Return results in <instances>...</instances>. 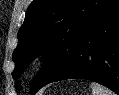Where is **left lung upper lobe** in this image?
<instances>
[{
    "label": "left lung upper lobe",
    "mask_w": 119,
    "mask_h": 95,
    "mask_svg": "<svg viewBox=\"0 0 119 95\" xmlns=\"http://www.w3.org/2000/svg\"><path fill=\"white\" fill-rule=\"evenodd\" d=\"M115 2L116 0H34L18 31V46L13 52V78L39 54L45 55V65L34 80L31 93L59 76L72 63L77 45L88 28Z\"/></svg>",
    "instance_id": "left-lung-upper-lobe-1"
}]
</instances>
